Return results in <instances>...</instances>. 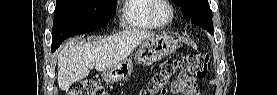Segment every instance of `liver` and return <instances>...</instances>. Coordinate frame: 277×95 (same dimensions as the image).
Listing matches in <instances>:
<instances>
[{"instance_id": "obj_1", "label": "liver", "mask_w": 277, "mask_h": 95, "mask_svg": "<svg viewBox=\"0 0 277 95\" xmlns=\"http://www.w3.org/2000/svg\"><path fill=\"white\" fill-rule=\"evenodd\" d=\"M154 36L146 31L126 30L91 42L69 40L57 56L59 88L69 89L74 82L86 78L93 68L98 72L112 69L127 59L143 41Z\"/></svg>"}]
</instances>
